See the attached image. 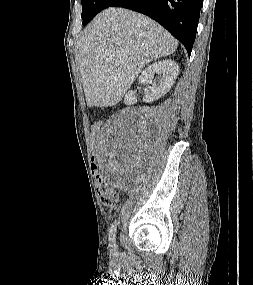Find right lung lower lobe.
<instances>
[{"label": "right lung lower lobe", "mask_w": 253, "mask_h": 285, "mask_svg": "<svg viewBox=\"0 0 253 285\" xmlns=\"http://www.w3.org/2000/svg\"><path fill=\"white\" fill-rule=\"evenodd\" d=\"M203 0H116L111 7L143 13L167 29L191 54Z\"/></svg>", "instance_id": "1"}]
</instances>
